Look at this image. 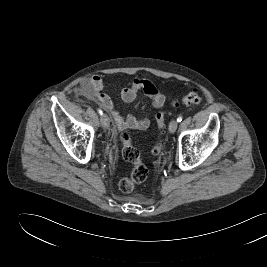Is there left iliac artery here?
Masks as SVG:
<instances>
[{"instance_id": "44dca946", "label": "left iliac artery", "mask_w": 267, "mask_h": 267, "mask_svg": "<svg viewBox=\"0 0 267 267\" xmlns=\"http://www.w3.org/2000/svg\"><path fill=\"white\" fill-rule=\"evenodd\" d=\"M182 121V116H179L178 118H177V122H181Z\"/></svg>"}]
</instances>
